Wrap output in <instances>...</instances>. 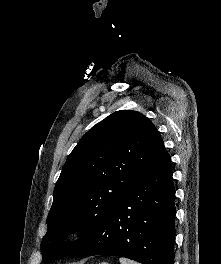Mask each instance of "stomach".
Listing matches in <instances>:
<instances>
[{"label": "stomach", "instance_id": "obj_1", "mask_svg": "<svg viewBox=\"0 0 221 264\" xmlns=\"http://www.w3.org/2000/svg\"><path fill=\"white\" fill-rule=\"evenodd\" d=\"M100 264H109V263H107V262H102V263H100Z\"/></svg>", "mask_w": 221, "mask_h": 264}]
</instances>
